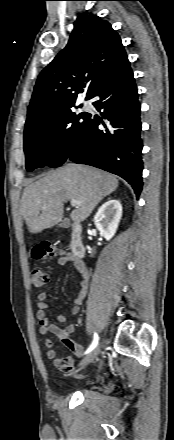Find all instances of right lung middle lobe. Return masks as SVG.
I'll return each instance as SVG.
<instances>
[{"label": "right lung middle lobe", "mask_w": 174, "mask_h": 440, "mask_svg": "<svg viewBox=\"0 0 174 440\" xmlns=\"http://www.w3.org/2000/svg\"><path fill=\"white\" fill-rule=\"evenodd\" d=\"M87 115L88 113L83 112L77 116L70 108L25 131L24 151L27 170L62 165L72 145L82 134Z\"/></svg>", "instance_id": "right-lung-middle-lobe-1"}]
</instances>
